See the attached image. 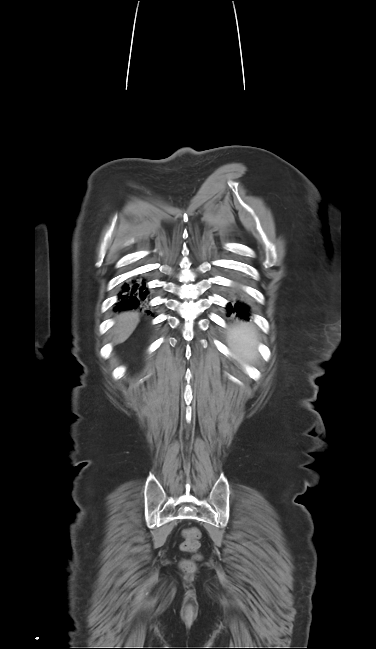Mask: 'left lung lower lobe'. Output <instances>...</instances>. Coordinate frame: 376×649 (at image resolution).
Here are the masks:
<instances>
[{"label":"left lung lower lobe","mask_w":376,"mask_h":649,"mask_svg":"<svg viewBox=\"0 0 376 649\" xmlns=\"http://www.w3.org/2000/svg\"><path fill=\"white\" fill-rule=\"evenodd\" d=\"M228 314L236 312L238 316H242L243 319L249 320L250 308L242 303L237 302L234 306L231 303L227 305Z\"/></svg>","instance_id":"left-lung-lower-lobe-1"}]
</instances>
